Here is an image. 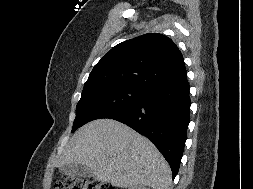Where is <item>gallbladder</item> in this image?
<instances>
[{
  "label": "gallbladder",
  "instance_id": "obj_1",
  "mask_svg": "<svg viewBox=\"0 0 253 189\" xmlns=\"http://www.w3.org/2000/svg\"><path fill=\"white\" fill-rule=\"evenodd\" d=\"M60 172L67 176L91 177L92 170L87 165L81 163H70L60 167Z\"/></svg>",
  "mask_w": 253,
  "mask_h": 189
}]
</instances>
